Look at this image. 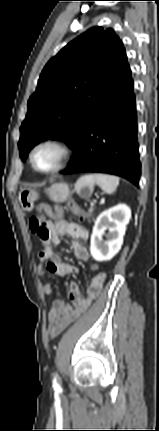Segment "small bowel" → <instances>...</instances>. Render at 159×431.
<instances>
[{
  "mask_svg": "<svg viewBox=\"0 0 159 431\" xmlns=\"http://www.w3.org/2000/svg\"><path fill=\"white\" fill-rule=\"evenodd\" d=\"M45 234H37L43 247L39 252L40 264L37 267L39 274L48 272L50 274L64 277L71 273L78 272L77 267L64 262L53 251V246L60 243V236H67L74 239L86 240L89 236L88 231L75 223L68 222L64 219L46 220L44 224ZM75 256L80 260H88V250L78 241L73 242ZM93 267V266H92ZM91 272V282L85 293L80 290L79 285L72 281L69 284V297L71 303L63 300H55L49 311V333L52 338L59 335L68 325L77 319L92 302L99 296L104 282V274ZM44 292L51 294L53 287L50 283L44 286Z\"/></svg>",
  "mask_w": 159,
  "mask_h": 431,
  "instance_id": "c3829d8e",
  "label": "small bowel"
}]
</instances>
